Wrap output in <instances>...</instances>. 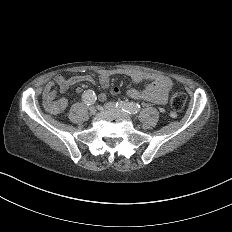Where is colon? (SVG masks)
<instances>
[{
	"instance_id": "1",
	"label": "colon",
	"mask_w": 232,
	"mask_h": 232,
	"mask_svg": "<svg viewBox=\"0 0 232 232\" xmlns=\"http://www.w3.org/2000/svg\"><path fill=\"white\" fill-rule=\"evenodd\" d=\"M171 101L169 102V107H173L171 109L172 113H181V108H186V103H184V94H182L181 90H174L173 94H171ZM44 104H53L49 105V113H65L66 105H63L62 99L60 96H47V99L43 100Z\"/></svg>"
}]
</instances>
